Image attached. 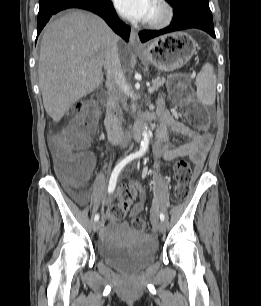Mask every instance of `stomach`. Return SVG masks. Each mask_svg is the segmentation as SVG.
I'll use <instances>...</instances> for the list:
<instances>
[{"label":"stomach","mask_w":261,"mask_h":306,"mask_svg":"<svg viewBox=\"0 0 261 306\" xmlns=\"http://www.w3.org/2000/svg\"><path fill=\"white\" fill-rule=\"evenodd\" d=\"M196 43L186 32L162 35L148 42L137 55L160 71H173L185 65L196 52Z\"/></svg>","instance_id":"obj_1"}]
</instances>
